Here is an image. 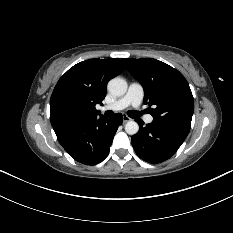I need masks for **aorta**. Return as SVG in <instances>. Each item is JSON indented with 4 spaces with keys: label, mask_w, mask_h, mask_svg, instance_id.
Instances as JSON below:
<instances>
[{
    "label": "aorta",
    "mask_w": 233,
    "mask_h": 233,
    "mask_svg": "<svg viewBox=\"0 0 233 233\" xmlns=\"http://www.w3.org/2000/svg\"><path fill=\"white\" fill-rule=\"evenodd\" d=\"M108 91L115 96H122L127 92V82L119 77H115L108 82ZM125 131L129 135H134L139 131V125L135 121H128L125 125Z\"/></svg>",
    "instance_id": "762f6f07"
}]
</instances>
